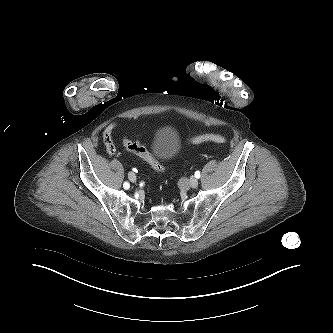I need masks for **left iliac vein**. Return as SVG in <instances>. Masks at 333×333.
<instances>
[{"label": "left iliac vein", "instance_id": "4c4485c4", "mask_svg": "<svg viewBox=\"0 0 333 333\" xmlns=\"http://www.w3.org/2000/svg\"><path fill=\"white\" fill-rule=\"evenodd\" d=\"M188 185L192 188H196L198 186V180L192 176L188 181Z\"/></svg>", "mask_w": 333, "mask_h": 333}]
</instances>
